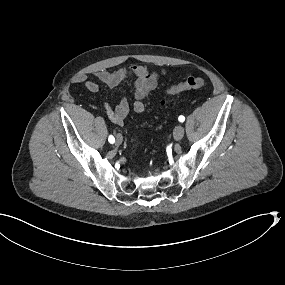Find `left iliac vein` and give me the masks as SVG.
Returning a JSON list of instances; mask_svg holds the SVG:
<instances>
[{
  "label": "left iliac vein",
  "instance_id": "obj_1",
  "mask_svg": "<svg viewBox=\"0 0 285 285\" xmlns=\"http://www.w3.org/2000/svg\"><path fill=\"white\" fill-rule=\"evenodd\" d=\"M173 136L175 140H180L184 136V128L181 125H178L174 128Z\"/></svg>",
  "mask_w": 285,
  "mask_h": 285
}]
</instances>
